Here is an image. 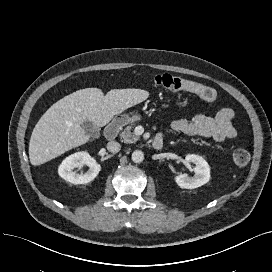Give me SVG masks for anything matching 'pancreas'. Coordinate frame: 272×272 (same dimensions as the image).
Here are the masks:
<instances>
[{
    "label": "pancreas",
    "instance_id": "obj_1",
    "mask_svg": "<svg viewBox=\"0 0 272 272\" xmlns=\"http://www.w3.org/2000/svg\"><path fill=\"white\" fill-rule=\"evenodd\" d=\"M133 124L127 126L121 133V140L125 143H135L139 140V136L132 132Z\"/></svg>",
    "mask_w": 272,
    "mask_h": 272
}]
</instances>
